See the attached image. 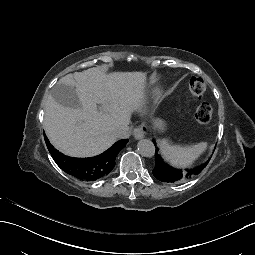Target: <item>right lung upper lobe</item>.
Returning a JSON list of instances; mask_svg holds the SVG:
<instances>
[{
    "label": "right lung upper lobe",
    "mask_w": 255,
    "mask_h": 255,
    "mask_svg": "<svg viewBox=\"0 0 255 255\" xmlns=\"http://www.w3.org/2000/svg\"><path fill=\"white\" fill-rule=\"evenodd\" d=\"M47 148L56 164L67 174L83 180V166L92 164L94 166V180L109 174L115 166V158L119 151L125 147L126 140L116 142L110 149L99 156L92 158H72L58 152L46 139Z\"/></svg>",
    "instance_id": "obj_1"
}]
</instances>
